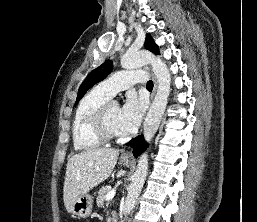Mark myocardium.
I'll list each match as a JSON object with an SVG mask.
<instances>
[{"label": "myocardium", "instance_id": "myocardium-1", "mask_svg": "<svg viewBox=\"0 0 257 222\" xmlns=\"http://www.w3.org/2000/svg\"><path fill=\"white\" fill-rule=\"evenodd\" d=\"M115 105H118L117 101L108 100L102 104L94 114L92 121L93 129L98 139L102 142H109L122 138L120 134L112 132L108 126L109 112Z\"/></svg>", "mask_w": 257, "mask_h": 222}]
</instances>
